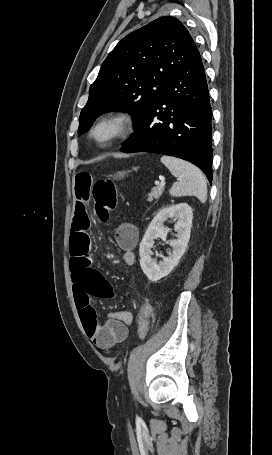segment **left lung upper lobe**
<instances>
[{
  "mask_svg": "<svg viewBox=\"0 0 272 455\" xmlns=\"http://www.w3.org/2000/svg\"><path fill=\"white\" fill-rule=\"evenodd\" d=\"M199 51L184 25L160 17L128 34L109 53L81 111L79 133L101 114L128 112L134 128L157 102L170 77Z\"/></svg>",
  "mask_w": 272,
  "mask_h": 455,
  "instance_id": "1",
  "label": "left lung upper lobe"
}]
</instances>
